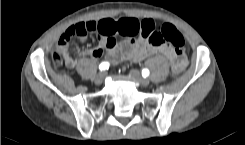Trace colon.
Instances as JSON below:
<instances>
[{
    "label": "colon",
    "mask_w": 245,
    "mask_h": 145,
    "mask_svg": "<svg viewBox=\"0 0 245 145\" xmlns=\"http://www.w3.org/2000/svg\"><path fill=\"white\" fill-rule=\"evenodd\" d=\"M91 32L90 27L85 23L71 25L59 40L57 47L52 52V61L56 66L61 65L64 58V46L73 37H83ZM129 37L140 36L145 41L154 46L167 45L175 50H181L185 45L183 34L174 26L168 23L154 24L144 23L142 26L130 24L125 31L121 32ZM114 35H112L113 37ZM181 65L173 61L171 71L177 73L181 70Z\"/></svg>",
    "instance_id": "5ec220e1"
}]
</instances>
